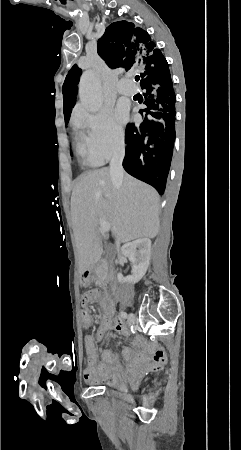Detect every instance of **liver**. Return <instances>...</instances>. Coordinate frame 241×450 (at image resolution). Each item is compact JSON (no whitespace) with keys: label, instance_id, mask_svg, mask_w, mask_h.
Masks as SVG:
<instances>
[{"label":"liver","instance_id":"obj_1","mask_svg":"<svg viewBox=\"0 0 241 450\" xmlns=\"http://www.w3.org/2000/svg\"><path fill=\"white\" fill-rule=\"evenodd\" d=\"M159 202L154 188L127 174L116 190L109 168L78 178L72 190L71 216L79 274L82 276L101 258L100 222L109 224L122 244L136 238H155L160 230Z\"/></svg>","mask_w":241,"mask_h":450}]
</instances>
